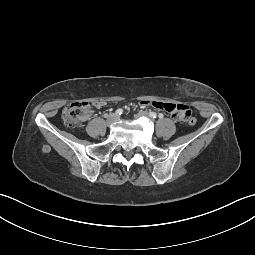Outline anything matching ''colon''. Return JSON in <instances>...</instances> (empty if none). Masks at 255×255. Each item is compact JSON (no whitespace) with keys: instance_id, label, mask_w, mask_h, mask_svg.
<instances>
[{"instance_id":"obj_1","label":"colon","mask_w":255,"mask_h":255,"mask_svg":"<svg viewBox=\"0 0 255 255\" xmlns=\"http://www.w3.org/2000/svg\"><path fill=\"white\" fill-rule=\"evenodd\" d=\"M93 107L92 104L83 101L70 103L63 109L61 119L64 125L69 128L79 127L93 111ZM185 121L190 125H194L197 120L195 117L190 116Z\"/></svg>"}]
</instances>
